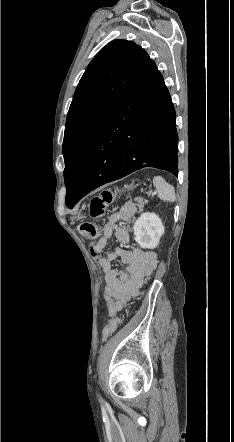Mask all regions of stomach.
I'll return each instance as SVG.
<instances>
[{
  "label": "stomach",
  "mask_w": 234,
  "mask_h": 442,
  "mask_svg": "<svg viewBox=\"0 0 234 442\" xmlns=\"http://www.w3.org/2000/svg\"><path fill=\"white\" fill-rule=\"evenodd\" d=\"M135 187H136L135 185L131 184V185H126V186H125V189L131 190V189H133V188H135ZM75 218H76V219H80V218H82V216L79 214V215H77Z\"/></svg>",
  "instance_id": "obj_1"
}]
</instances>
